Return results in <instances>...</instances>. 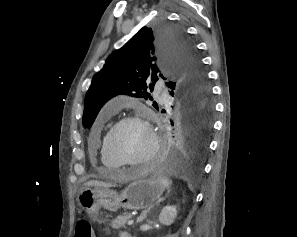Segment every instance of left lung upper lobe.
Here are the masks:
<instances>
[{
  "instance_id": "obj_1",
  "label": "left lung upper lobe",
  "mask_w": 297,
  "mask_h": 237,
  "mask_svg": "<svg viewBox=\"0 0 297 237\" xmlns=\"http://www.w3.org/2000/svg\"><path fill=\"white\" fill-rule=\"evenodd\" d=\"M163 79L174 103L197 107L211 102L206 74L184 32L166 23L142 27L122 48L112 53L96 73L85 97L83 125L90 128L101 107L117 94L151 99L157 80ZM158 110V105L153 102Z\"/></svg>"
}]
</instances>
